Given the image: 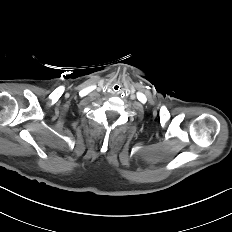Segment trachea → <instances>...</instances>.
I'll list each match as a JSON object with an SVG mask.
<instances>
[{
  "label": "trachea",
  "mask_w": 232,
  "mask_h": 232,
  "mask_svg": "<svg viewBox=\"0 0 232 232\" xmlns=\"http://www.w3.org/2000/svg\"><path fill=\"white\" fill-rule=\"evenodd\" d=\"M121 89H122V87H121V85H120L119 83H116V84H114V85L112 86V91H113V92L118 93V92L121 91Z\"/></svg>",
  "instance_id": "1"
}]
</instances>
